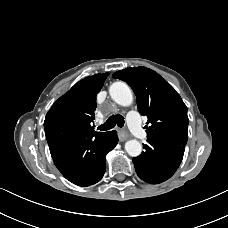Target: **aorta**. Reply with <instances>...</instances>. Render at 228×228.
I'll return each instance as SVG.
<instances>
[{
    "label": "aorta",
    "instance_id": "762f6f07",
    "mask_svg": "<svg viewBox=\"0 0 228 228\" xmlns=\"http://www.w3.org/2000/svg\"><path fill=\"white\" fill-rule=\"evenodd\" d=\"M111 98L121 106H129L133 102V95L129 86L124 82H115L109 88ZM125 150L131 157H137L142 152V145L137 140L125 143Z\"/></svg>",
    "mask_w": 228,
    "mask_h": 228
}]
</instances>
